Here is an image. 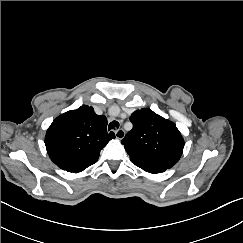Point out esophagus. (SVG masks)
I'll return each mask as SVG.
<instances>
[{
    "label": "esophagus",
    "instance_id": "1",
    "mask_svg": "<svg viewBox=\"0 0 243 243\" xmlns=\"http://www.w3.org/2000/svg\"><path fill=\"white\" fill-rule=\"evenodd\" d=\"M115 135L117 139L122 140L125 137V131L120 128L115 132Z\"/></svg>",
    "mask_w": 243,
    "mask_h": 243
}]
</instances>
